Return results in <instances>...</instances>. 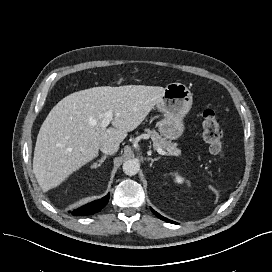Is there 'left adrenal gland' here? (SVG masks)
I'll use <instances>...</instances> for the list:
<instances>
[{
    "mask_svg": "<svg viewBox=\"0 0 272 272\" xmlns=\"http://www.w3.org/2000/svg\"><path fill=\"white\" fill-rule=\"evenodd\" d=\"M159 159H160V157H157V158H154V159L151 158V157H148V158H147L148 161H151L150 166L153 165V162H154V161H158Z\"/></svg>",
    "mask_w": 272,
    "mask_h": 272,
    "instance_id": "obj_1",
    "label": "left adrenal gland"
}]
</instances>
